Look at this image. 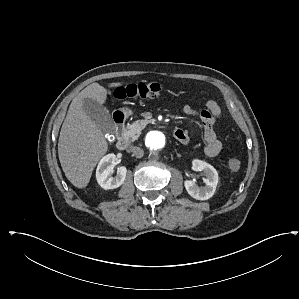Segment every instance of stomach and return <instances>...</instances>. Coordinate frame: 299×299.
<instances>
[{
    "mask_svg": "<svg viewBox=\"0 0 299 299\" xmlns=\"http://www.w3.org/2000/svg\"><path fill=\"white\" fill-rule=\"evenodd\" d=\"M120 111L125 117H129L133 114L132 110H130L129 108H121Z\"/></svg>",
    "mask_w": 299,
    "mask_h": 299,
    "instance_id": "0dacf381",
    "label": "stomach"
}]
</instances>
